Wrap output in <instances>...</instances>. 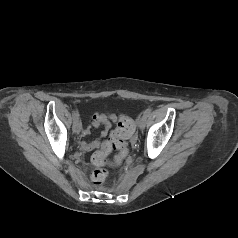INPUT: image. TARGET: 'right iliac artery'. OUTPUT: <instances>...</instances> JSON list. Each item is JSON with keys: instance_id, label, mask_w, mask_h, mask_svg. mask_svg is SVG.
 <instances>
[{"instance_id": "obj_1", "label": "right iliac artery", "mask_w": 238, "mask_h": 238, "mask_svg": "<svg viewBox=\"0 0 238 238\" xmlns=\"http://www.w3.org/2000/svg\"><path fill=\"white\" fill-rule=\"evenodd\" d=\"M72 116H73V120H74V119H79V113H78V111H73V112H72Z\"/></svg>"}]
</instances>
